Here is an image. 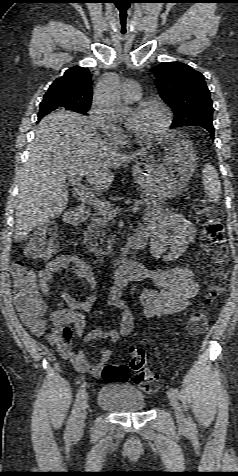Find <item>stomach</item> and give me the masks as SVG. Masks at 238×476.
Here are the masks:
<instances>
[{
	"label": "stomach",
	"instance_id": "obj_1",
	"mask_svg": "<svg viewBox=\"0 0 238 476\" xmlns=\"http://www.w3.org/2000/svg\"><path fill=\"white\" fill-rule=\"evenodd\" d=\"M196 164V152L189 140L181 132L172 131L147 146L132 173L149 197L173 198L184 190Z\"/></svg>",
	"mask_w": 238,
	"mask_h": 476
}]
</instances>
